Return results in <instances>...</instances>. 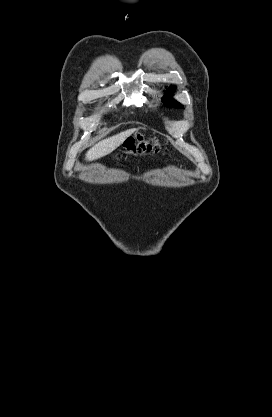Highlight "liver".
Wrapping results in <instances>:
<instances>
[{
  "instance_id": "liver-1",
  "label": "liver",
  "mask_w": 272,
  "mask_h": 417,
  "mask_svg": "<svg viewBox=\"0 0 272 417\" xmlns=\"http://www.w3.org/2000/svg\"><path fill=\"white\" fill-rule=\"evenodd\" d=\"M135 131H136L135 128L128 129L126 131H123L119 134H116L112 137H109L107 139H104L98 142L87 151L85 155L86 160L94 161L111 153L117 147H119L129 136H131Z\"/></svg>"
}]
</instances>
